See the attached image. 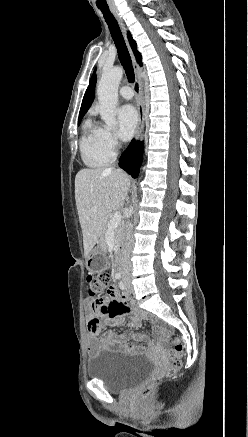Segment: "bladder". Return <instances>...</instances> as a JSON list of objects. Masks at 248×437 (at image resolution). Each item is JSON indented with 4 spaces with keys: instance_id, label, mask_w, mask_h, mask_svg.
<instances>
[{
    "instance_id": "bladder-1",
    "label": "bladder",
    "mask_w": 248,
    "mask_h": 437,
    "mask_svg": "<svg viewBox=\"0 0 248 437\" xmlns=\"http://www.w3.org/2000/svg\"><path fill=\"white\" fill-rule=\"evenodd\" d=\"M156 365L140 354L101 351L88 363L87 375L101 381L111 392H123L154 375Z\"/></svg>"
}]
</instances>
